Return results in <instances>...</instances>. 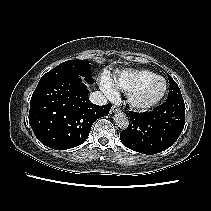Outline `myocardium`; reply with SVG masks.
I'll return each instance as SVG.
<instances>
[{
	"label": "myocardium",
	"instance_id": "f54148a6",
	"mask_svg": "<svg viewBox=\"0 0 211 211\" xmlns=\"http://www.w3.org/2000/svg\"><path fill=\"white\" fill-rule=\"evenodd\" d=\"M155 81H161L163 83V90L162 92L155 98L149 101H141L140 95L143 93V91L148 88L152 83ZM167 82L164 78L157 76L155 78H152L141 85H139L137 88H135L132 92L128 94V103L129 105L139 111H147L154 107H156L162 99L165 97L167 93Z\"/></svg>",
	"mask_w": 211,
	"mask_h": 211
}]
</instances>
